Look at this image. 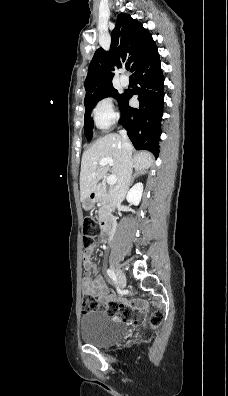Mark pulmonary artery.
<instances>
[{
    "label": "pulmonary artery",
    "instance_id": "e3ab8cb5",
    "mask_svg": "<svg viewBox=\"0 0 228 396\" xmlns=\"http://www.w3.org/2000/svg\"><path fill=\"white\" fill-rule=\"evenodd\" d=\"M120 83H121L122 86H128L129 85V78L126 75H121Z\"/></svg>",
    "mask_w": 228,
    "mask_h": 396
}]
</instances>
